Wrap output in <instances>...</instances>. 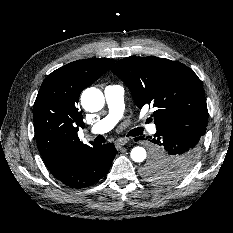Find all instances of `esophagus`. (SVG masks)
Segmentation results:
<instances>
[{"instance_id":"34e87169","label":"esophagus","mask_w":233,"mask_h":233,"mask_svg":"<svg viewBox=\"0 0 233 233\" xmlns=\"http://www.w3.org/2000/svg\"><path fill=\"white\" fill-rule=\"evenodd\" d=\"M128 142V139L120 138L115 142V147L117 149H120L122 146H124Z\"/></svg>"}]
</instances>
